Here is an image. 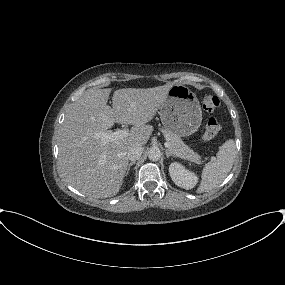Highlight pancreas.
Here are the masks:
<instances>
[{"instance_id":"obj_1","label":"pancreas","mask_w":285,"mask_h":285,"mask_svg":"<svg viewBox=\"0 0 285 285\" xmlns=\"http://www.w3.org/2000/svg\"><path fill=\"white\" fill-rule=\"evenodd\" d=\"M166 140L168 143H170V148L168 150L170 153H172L174 156L189 160L195 163H200L201 158L200 156L195 153L193 150H191L178 136L172 131H168L166 129L162 130Z\"/></svg>"}]
</instances>
